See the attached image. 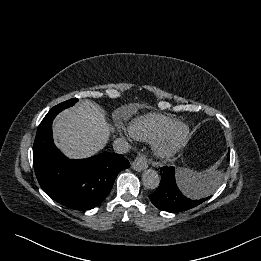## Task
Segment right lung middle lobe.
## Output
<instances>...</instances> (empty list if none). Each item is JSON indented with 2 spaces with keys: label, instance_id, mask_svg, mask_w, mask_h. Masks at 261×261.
Wrapping results in <instances>:
<instances>
[{
  "label": "right lung middle lobe",
  "instance_id": "right-lung-middle-lobe-1",
  "mask_svg": "<svg viewBox=\"0 0 261 261\" xmlns=\"http://www.w3.org/2000/svg\"><path fill=\"white\" fill-rule=\"evenodd\" d=\"M76 102H78V99L77 98H73V99H70V100H67L65 102H62L58 105H56L55 107H53L50 112H61L62 110L70 107V106H73Z\"/></svg>",
  "mask_w": 261,
  "mask_h": 261
}]
</instances>
